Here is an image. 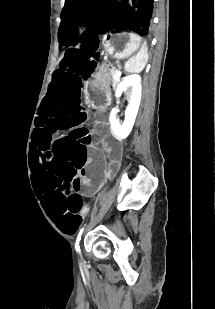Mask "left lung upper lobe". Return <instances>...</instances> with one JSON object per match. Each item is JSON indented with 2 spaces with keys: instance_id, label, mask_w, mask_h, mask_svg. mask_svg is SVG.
I'll return each mask as SVG.
<instances>
[{
  "instance_id": "5c2ea615",
  "label": "left lung upper lobe",
  "mask_w": 215,
  "mask_h": 309,
  "mask_svg": "<svg viewBox=\"0 0 215 309\" xmlns=\"http://www.w3.org/2000/svg\"><path fill=\"white\" fill-rule=\"evenodd\" d=\"M154 0H65L58 31L59 47L76 45L118 29L148 35ZM91 22L77 38L78 25Z\"/></svg>"
}]
</instances>
